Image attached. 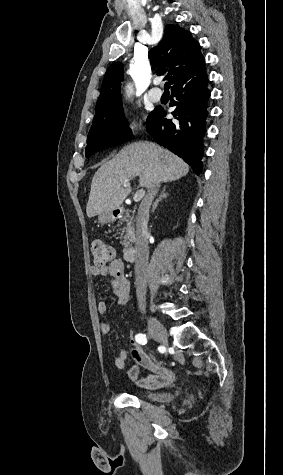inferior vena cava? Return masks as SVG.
<instances>
[{"mask_svg":"<svg viewBox=\"0 0 283 475\" xmlns=\"http://www.w3.org/2000/svg\"><path fill=\"white\" fill-rule=\"evenodd\" d=\"M159 188V182L148 186V194H146L143 202H141L138 210L136 222V243H135V285L136 295L139 309L144 311L146 307L147 293V267L149 259V245L147 239V224L149 220L150 206L156 196Z\"/></svg>","mask_w":283,"mask_h":475,"instance_id":"obj_1","label":"inferior vena cava"}]
</instances>
